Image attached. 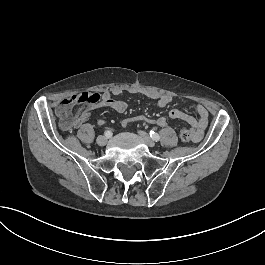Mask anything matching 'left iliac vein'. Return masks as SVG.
I'll use <instances>...</instances> for the list:
<instances>
[{"mask_svg": "<svg viewBox=\"0 0 265 265\" xmlns=\"http://www.w3.org/2000/svg\"><path fill=\"white\" fill-rule=\"evenodd\" d=\"M139 135L147 146L153 148L155 146L154 141L149 137V135L143 131H139Z\"/></svg>", "mask_w": 265, "mask_h": 265, "instance_id": "4c4485c4", "label": "left iliac vein"}]
</instances>
